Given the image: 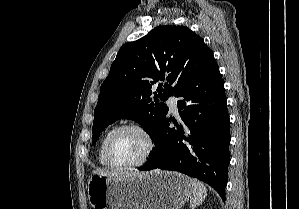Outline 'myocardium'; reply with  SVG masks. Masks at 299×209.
Here are the masks:
<instances>
[{
  "mask_svg": "<svg viewBox=\"0 0 299 209\" xmlns=\"http://www.w3.org/2000/svg\"><path fill=\"white\" fill-rule=\"evenodd\" d=\"M127 130H133L138 132L143 136V138L146 141V150L142 157L137 160L136 162H133L131 164L127 165H117L114 164L111 160V149H112V144L114 139L122 132L127 131ZM155 139L152 133L143 125L138 124V123H127L124 125H121L117 127L109 136L106 146H105V161L108 167L114 170H130L134 168H138L140 166H143L144 164L147 163V161L150 159L151 155L153 154L155 150Z\"/></svg>",
  "mask_w": 299,
  "mask_h": 209,
  "instance_id": "myocardium-1",
  "label": "myocardium"
}]
</instances>
